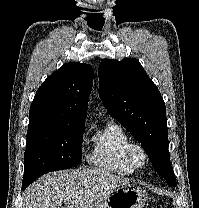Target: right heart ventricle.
Instances as JSON below:
<instances>
[{"instance_id": "e07e8e85", "label": "right heart ventricle", "mask_w": 199, "mask_h": 208, "mask_svg": "<svg viewBox=\"0 0 199 208\" xmlns=\"http://www.w3.org/2000/svg\"><path fill=\"white\" fill-rule=\"evenodd\" d=\"M92 142L88 160L93 166L120 175H129L134 171L125 156L126 147L132 141L119 124L108 121L95 132Z\"/></svg>"}]
</instances>
